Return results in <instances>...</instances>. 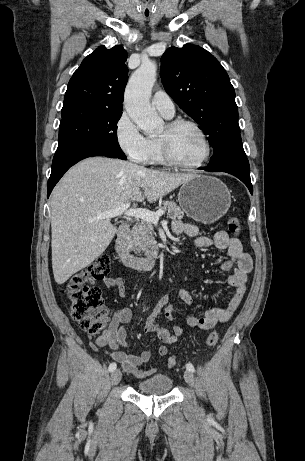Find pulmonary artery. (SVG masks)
I'll return each mask as SVG.
<instances>
[{
	"mask_svg": "<svg viewBox=\"0 0 305 461\" xmlns=\"http://www.w3.org/2000/svg\"><path fill=\"white\" fill-rule=\"evenodd\" d=\"M152 105L166 118H172L175 114L174 103L170 96L163 90H157L153 94Z\"/></svg>",
	"mask_w": 305,
	"mask_h": 461,
	"instance_id": "obj_1",
	"label": "pulmonary artery"
}]
</instances>
